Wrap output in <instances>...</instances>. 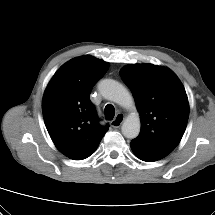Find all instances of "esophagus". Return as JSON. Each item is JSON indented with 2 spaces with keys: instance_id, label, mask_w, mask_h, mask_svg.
<instances>
[{
  "instance_id": "esophagus-1",
  "label": "esophagus",
  "mask_w": 215,
  "mask_h": 215,
  "mask_svg": "<svg viewBox=\"0 0 215 215\" xmlns=\"http://www.w3.org/2000/svg\"><path fill=\"white\" fill-rule=\"evenodd\" d=\"M123 121H124V115L119 113V114H117L115 119L111 121V126L114 127V128H118V127L121 126Z\"/></svg>"
}]
</instances>
